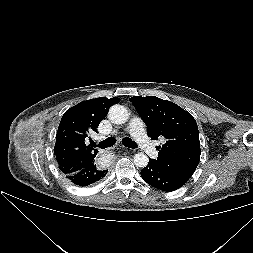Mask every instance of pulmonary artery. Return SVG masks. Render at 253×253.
Segmentation results:
<instances>
[{
  "label": "pulmonary artery",
  "mask_w": 253,
  "mask_h": 253,
  "mask_svg": "<svg viewBox=\"0 0 253 253\" xmlns=\"http://www.w3.org/2000/svg\"><path fill=\"white\" fill-rule=\"evenodd\" d=\"M128 131L134 140L141 146L144 152L151 158H156L158 151L147 137L143 122L138 117H133L128 125Z\"/></svg>",
  "instance_id": "obj_1"
}]
</instances>
